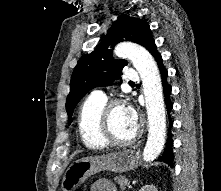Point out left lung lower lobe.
<instances>
[{
  "mask_svg": "<svg viewBox=\"0 0 221 191\" xmlns=\"http://www.w3.org/2000/svg\"><path fill=\"white\" fill-rule=\"evenodd\" d=\"M147 50L155 58L158 68L160 70V74H161V78H162V85H163V92H164L165 103H166V109H167V113H168V117H169V127L171 128L173 126V121L170 118V111L173 108V104L170 101L171 87L168 85V82H167L168 72L163 65L162 57H161L160 53L157 51V47H156L154 41H152V43L149 45ZM172 147H173V140H172V135L169 131L168 138L165 143L164 151H163L162 155L158 158V160L172 166L173 159H174Z\"/></svg>",
  "mask_w": 221,
  "mask_h": 191,
  "instance_id": "0a47b994",
  "label": "left lung lower lobe"
}]
</instances>
